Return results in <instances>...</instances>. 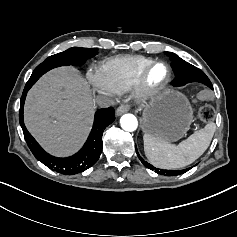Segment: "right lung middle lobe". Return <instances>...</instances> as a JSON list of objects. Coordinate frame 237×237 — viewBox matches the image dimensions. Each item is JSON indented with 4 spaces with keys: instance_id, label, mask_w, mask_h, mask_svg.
<instances>
[{
    "instance_id": "dd1d6c3e",
    "label": "right lung middle lobe",
    "mask_w": 237,
    "mask_h": 237,
    "mask_svg": "<svg viewBox=\"0 0 237 237\" xmlns=\"http://www.w3.org/2000/svg\"><path fill=\"white\" fill-rule=\"evenodd\" d=\"M96 52V48L73 47L64 52L52 55L35 68L29 81L34 84L44 73L59 66L81 65L87 59L93 57Z\"/></svg>"
}]
</instances>
